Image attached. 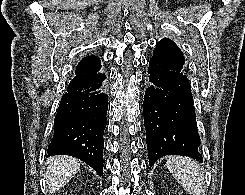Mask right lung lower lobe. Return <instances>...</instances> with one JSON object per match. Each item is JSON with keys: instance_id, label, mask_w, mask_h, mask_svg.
<instances>
[{"instance_id": "right-lung-lower-lobe-1", "label": "right lung lower lobe", "mask_w": 245, "mask_h": 195, "mask_svg": "<svg viewBox=\"0 0 245 195\" xmlns=\"http://www.w3.org/2000/svg\"><path fill=\"white\" fill-rule=\"evenodd\" d=\"M100 68H86L75 73L62 96L47 152L48 156L76 157L102 176L108 96L105 93L106 75Z\"/></svg>"}]
</instances>
